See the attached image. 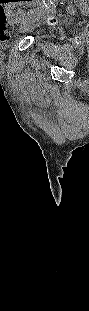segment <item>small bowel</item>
Wrapping results in <instances>:
<instances>
[{"label": "small bowel", "instance_id": "small-bowel-1", "mask_svg": "<svg viewBox=\"0 0 89 311\" xmlns=\"http://www.w3.org/2000/svg\"><path fill=\"white\" fill-rule=\"evenodd\" d=\"M8 17H9V18H12V19H15V18H16V14L11 13V14L8 15ZM12 37H13V36H12V34H10V33L3 34V35L1 36V40L4 41V42H8Z\"/></svg>", "mask_w": 89, "mask_h": 311}]
</instances>
